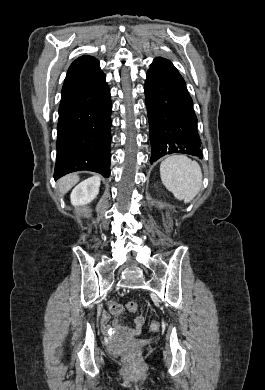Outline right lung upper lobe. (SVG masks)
Returning a JSON list of instances; mask_svg holds the SVG:
<instances>
[{"mask_svg":"<svg viewBox=\"0 0 265 390\" xmlns=\"http://www.w3.org/2000/svg\"><path fill=\"white\" fill-rule=\"evenodd\" d=\"M97 61L94 57L84 55L82 57H79L76 59L69 67L67 75L72 74L76 72L79 69H82L84 67H87Z\"/></svg>","mask_w":265,"mask_h":390,"instance_id":"right-lung-upper-lobe-1","label":"right lung upper lobe"}]
</instances>
